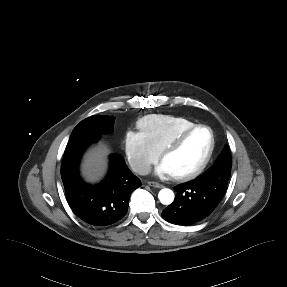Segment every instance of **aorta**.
I'll return each instance as SVG.
<instances>
[{"mask_svg":"<svg viewBox=\"0 0 287 287\" xmlns=\"http://www.w3.org/2000/svg\"><path fill=\"white\" fill-rule=\"evenodd\" d=\"M174 193L171 189L164 188L158 193V198L160 202L164 205H169L174 201Z\"/></svg>","mask_w":287,"mask_h":287,"instance_id":"1","label":"aorta"}]
</instances>
